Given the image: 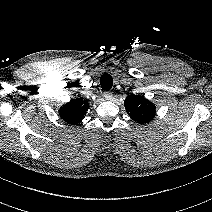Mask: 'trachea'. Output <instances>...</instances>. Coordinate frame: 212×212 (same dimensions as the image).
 I'll list each match as a JSON object with an SVG mask.
<instances>
[{
  "label": "trachea",
  "mask_w": 212,
  "mask_h": 212,
  "mask_svg": "<svg viewBox=\"0 0 212 212\" xmlns=\"http://www.w3.org/2000/svg\"><path fill=\"white\" fill-rule=\"evenodd\" d=\"M100 84H101V88L103 90H110L113 86V78L110 74H103L100 78Z\"/></svg>",
  "instance_id": "3493384b"
}]
</instances>
